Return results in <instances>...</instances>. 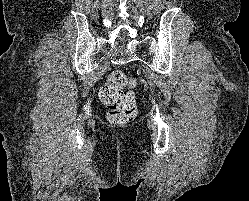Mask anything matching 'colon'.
Returning <instances> with one entry per match:
<instances>
[{"label":"colon","mask_w":249,"mask_h":201,"mask_svg":"<svg viewBox=\"0 0 249 201\" xmlns=\"http://www.w3.org/2000/svg\"><path fill=\"white\" fill-rule=\"evenodd\" d=\"M128 84L126 74L122 70H114L100 89V100L108 108V120L114 125L128 124L137 114L134 93L127 89Z\"/></svg>","instance_id":"colon-1"}]
</instances>
